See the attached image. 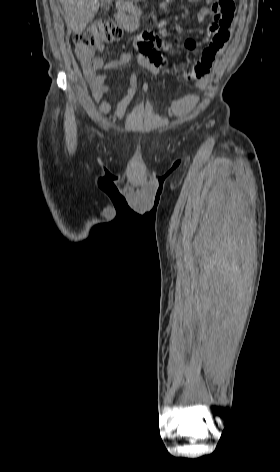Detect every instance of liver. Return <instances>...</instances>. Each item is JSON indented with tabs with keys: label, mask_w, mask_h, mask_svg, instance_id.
Masks as SVG:
<instances>
[{
	"label": "liver",
	"mask_w": 280,
	"mask_h": 472,
	"mask_svg": "<svg viewBox=\"0 0 280 472\" xmlns=\"http://www.w3.org/2000/svg\"><path fill=\"white\" fill-rule=\"evenodd\" d=\"M100 0H60L66 13L65 20L79 34L97 13Z\"/></svg>",
	"instance_id": "1"
}]
</instances>
